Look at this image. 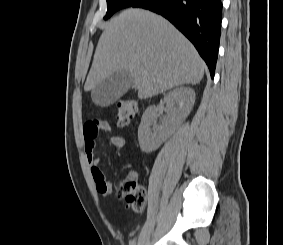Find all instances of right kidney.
Returning a JSON list of instances; mask_svg holds the SVG:
<instances>
[{
    "label": "right kidney",
    "mask_w": 283,
    "mask_h": 245,
    "mask_svg": "<svg viewBox=\"0 0 283 245\" xmlns=\"http://www.w3.org/2000/svg\"><path fill=\"white\" fill-rule=\"evenodd\" d=\"M195 96L190 87H178L165 95L163 104L168 116L162 125L156 124L161 108L151 105L145 110L138 128V140L143 152L155 151L174 132L175 127L191 112Z\"/></svg>",
    "instance_id": "right-kidney-1"
}]
</instances>
